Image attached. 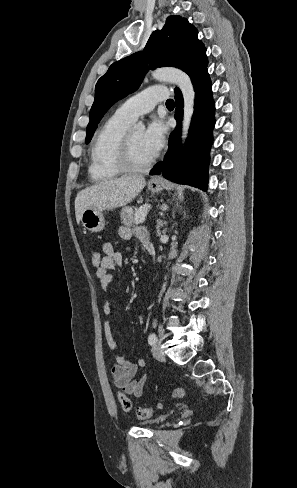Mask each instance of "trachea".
<instances>
[{
    "label": "trachea",
    "mask_w": 297,
    "mask_h": 488,
    "mask_svg": "<svg viewBox=\"0 0 297 488\" xmlns=\"http://www.w3.org/2000/svg\"><path fill=\"white\" fill-rule=\"evenodd\" d=\"M166 106L167 107H174V101L172 99H168L166 101Z\"/></svg>",
    "instance_id": "1"
}]
</instances>
